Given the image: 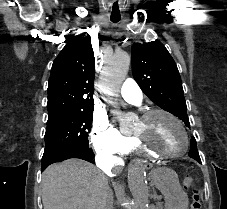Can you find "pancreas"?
<instances>
[{"label":"pancreas","mask_w":227,"mask_h":209,"mask_svg":"<svg viewBox=\"0 0 227 209\" xmlns=\"http://www.w3.org/2000/svg\"><path fill=\"white\" fill-rule=\"evenodd\" d=\"M155 206L157 207L156 209H166L165 205L162 203H157Z\"/></svg>","instance_id":"1"}]
</instances>
